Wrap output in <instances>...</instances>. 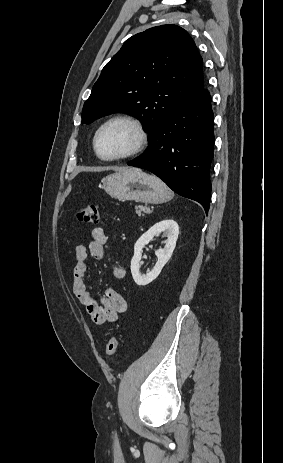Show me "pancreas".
Masks as SVG:
<instances>
[{"instance_id": "1", "label": "pancreas", "mask_w": 283, "mask_h": 463, "mask_svg": "<svg viewBox=\"0 0 283 463\" xmlns=\"http://www.w3.org/2000/svg\"><path fill=\"white\" fill-rule=\"evenodd\" d=\"M135 210L138 216H141V215L143 216L144 213H151V210L149 209V207L144 206V205L135 206Z\"/></svg>"}]
</instances>
